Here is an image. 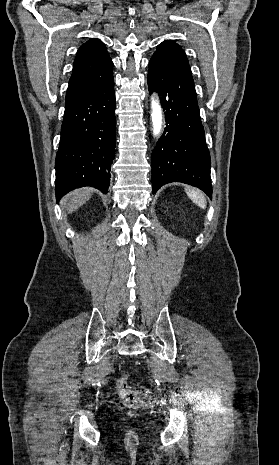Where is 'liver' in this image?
I'll return each mask as SVG.
<instances>
[{
    "label": "liver",
    "instance_id": "liver-1",
    "mask_svg": "<svg viewBox=\"0 0 279 465\" xmlns=\"http://www.w3.org/2000/svg\"><path fill=\"white\" fill-rule=\"evenodd\" d=\"M91 188H82L69 193L63 200L62 204L67 208L69 213L76 211L91 197Z\"/></svg>",
    "mask_w": 279,
    "mask_h": 465
}]
</instances>
